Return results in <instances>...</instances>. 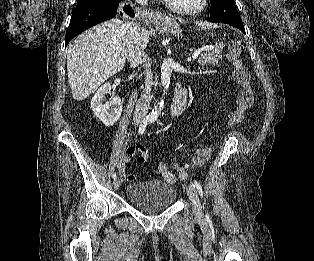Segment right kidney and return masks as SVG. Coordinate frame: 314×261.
I'll use <instances>...</instances> for the list:
<instances>
[{
    "label": "right kidney",
    "instance_id": "1",
    "mask_svg": "<svg viewBox=\"0 0 314 261\" xmlns=\"http://www.w3.org/2000/svg\"><path fill=\"white\" fill-rule=\"evenodd\" d=\"M111 89V84L105 83L97 90L91 100L92 111L105 126L114 125L120 118L123 108L122 101L118 96L113 97L110 102L103 104L105 95L109 94Z\"/></svg>",
    "mask_w": 314,
    "mask_h": 261
}]
</instances>
